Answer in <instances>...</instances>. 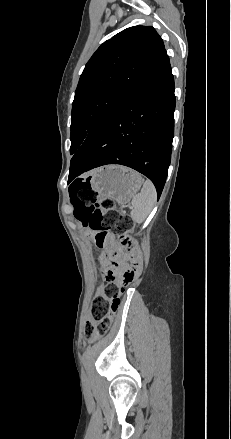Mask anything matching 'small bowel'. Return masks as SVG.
<instances>
[{
	"mask_svg": "<svg viewBox=\"0 0 231 439\" xmlns=\"http://www.w3.org/2000/svg\"><path fill=\"white\" fill-rule=\"evenodd\" d=\"M110 246H111V243L108 244V248H110ZM110 254H111L110 251H108L107 254H106V257H108Z\"/></svg>",
	"mask_w": 231,
	"mask_h": 439,
	"instance_id": "c3829d8e",
	"label": "small bowel"
}]
</instances>
